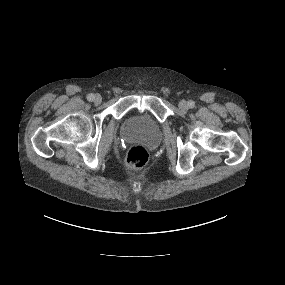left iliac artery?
Returning a JSON list of instances; mask_svg holds the SVG:
<instances>
[{
  "label": "left iliac artery",
  "mask_w": 285,
  "mask_h": 285,
  "mask_svg": "<svg viewBox=\"0 0 285 285\" xmlns=\"http://www.w3.org/2000/svg\"><path fill=\"white\" fill-rule=\"evenodd\" d=\"M188 106H189V108H194L195 107V102L192 101V100L188 101Z\"/></svg>",
  "instance_id": "1"
}]
</instances>
